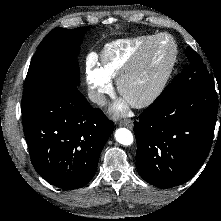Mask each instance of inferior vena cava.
Here are the masks:
<instances>
[{
	"label": "inferior vena cava",
	"mask_w": 221,
	"mask_h": 221,
	"mask_svg": "<svg viewBox=\"0 0 221 221\" xmlns=\"http://www.w3.org/2000/svg\"><path fill=\"white\" fill-rule=\"evenodd\" d=\"M88 97L93 103H96L101 106L105 105L107 101L105 95L95 90L88 91Z\"/></svg>",
	"instance_id": "602c4592"
}]
</instances>
